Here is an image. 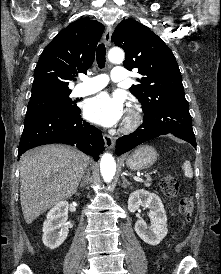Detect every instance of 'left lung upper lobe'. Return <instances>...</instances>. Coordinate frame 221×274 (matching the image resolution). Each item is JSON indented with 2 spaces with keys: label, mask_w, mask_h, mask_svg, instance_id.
<instances>
[{
  "label": "left lung upper lobe",
  "mask_w": 221,
  "mask_h": 274,
  "mask_svg": "<svg viewBox=\"0 0 221 274\" xmlns=\"http://www.w3.org/2000/svg\"><path fill=\"white\" fill-rule=\"evenodd\" d=\"M112 41L125 51L124 67L137 68L142 76L129 90L140 101L143 111L186 100L172 51L148 27L133 19L123 20L115 29Z\"/></svg>",
  "instance_id": "5c2ea615"
}]
</instances>
